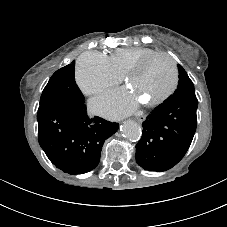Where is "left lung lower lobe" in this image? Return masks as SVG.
I'll use <instances>...</instances> for the list:
<instances>
[{"instance_id":"obj_1","label":"left lung lower lobe","mask_w":227,"mask_h":227,"mask_svg":"<svg viewBox=\"0 0 227 227\" xmlns=\"http://www.w3.org/2000/svg\"><path fill=\"white\" fill-rule=\"evenodd\" d=\"M196 97H169L142 123L136 162L149 171H166L187 152L197 126Z\"/></svg>"}]
</instances>
